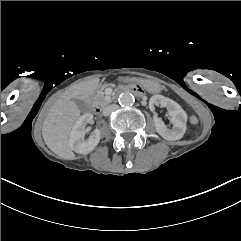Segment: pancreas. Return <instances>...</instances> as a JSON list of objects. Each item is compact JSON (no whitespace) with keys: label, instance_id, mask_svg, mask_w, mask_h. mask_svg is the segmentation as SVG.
<instances>
[{"label":"pancreas","instance_id":"1","mask_svg":"<svg viewBox=\"0 0 241 241\" xmlns=\"http://www.w3.org/2000/svg\"><path fill=\"white\" fill-rule=\"evenodd\" d=\"M97 97L101 100L100 102H98L97 104H99L100 106H106L110 103L109 100L105 99L104 93L102 90L98 91Z\"/></svg>","mask_w":241,"mask_h":241}]
</instances>
